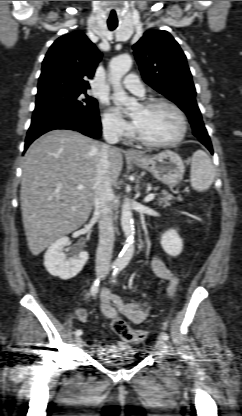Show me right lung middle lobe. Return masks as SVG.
Returning a JSON list of instances; mask_svg holds the SVG:
<instances>
[{
	"mask_svg": "<svg viewBox=\"0 0 242 416\" xmlns=\"http://www.w3.org/2000/svg\"><path fill=\"white\" fill-rule=\"evenodd\" d=\"M46 111H61L80 118L98 114L97 101L86 94V90L63 88L37 96L33 116Z\"/></svg>",
	"mask_w": 242,
	"mask_h": 416,
	"instance_id": "1",
	"label": "right lung middle lobe"
}]
</instances>
